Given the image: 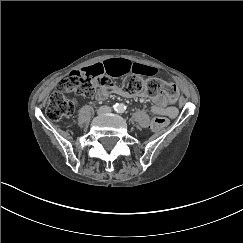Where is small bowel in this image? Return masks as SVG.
Listing matches in <instances>:
<instances>
[{
    "instance_id": "c3829d8e",
    "label": "small bowel",
    "mask_w": 243,
    "mask_h": 243,
    "mask_svg": "<svg viewBox=\"0 0 243 243\" xmlns=\"http://www.w3.org/2000/svg\"><path fill=\"white\" fill-rule=\"evenodd\" d=\"M83 72L88 74L102 73L108 74L113 77H119L130 72L139 75L151 76L156 73V69L152 66L135 63L127 59H114L89 66L85 68ZM115 92L120 95H124L119 89H116ZM106 97V91H100L96 94V98L98 100H104ZM153 102V113L158 115H164L170 118H175L177 116L178 109L174 106L168 105L165 98L156 97Z\"/></svg>"
}]
</instances>
